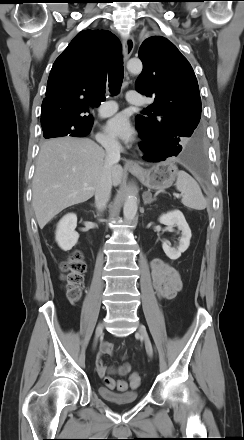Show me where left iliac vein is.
I'll return each mask as SVG.
<instances>
[{"mask_svg":"<svg viewBox=\"0 0 244 440\" xmlns=\"http://www.w3.org/2000/svg\"><path fill=\"white\" fill-rule=\"evenodd\" d=\"M138 333L141 336L142 340L145 343V348L147 351V354L152 357L153 355V349H152V344L151 341L149 339L148 333L146 331V328L143 325H140L138 328Z\"/></svg>","mask_w":244,"mask_h":440,"instance_id":"4c4485c4","label":"left iliac vein"}]
</instances>
